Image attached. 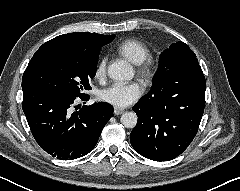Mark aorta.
Instances as JSON below:
<instances>
[{"instance_id": "aorta-1", "label": "aorta", "mask_w": 240, "mask_h": 191, "mask_svg": "<svg viewBox=\"0 0 240 191\" xmlns=\"http://www.w3.org/2000/svg\"><path fill=\"white\" fill-rule=\"evenodd\" d=\"M108 76L116 81L131 80L134 76L132 66L124 60H117L108 67ZM120 121L126 128H134L137 125L138 117L135 112L124 113Z\"/></svg>"}]
</instances>
